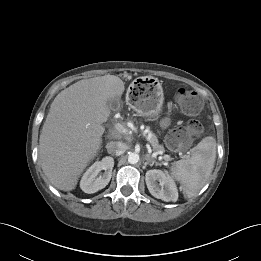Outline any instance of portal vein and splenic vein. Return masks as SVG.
I'll use <instances>...</instances> for the list:
<instances>
[{"mask_svg": "<svg viewBox=\"0 0 261 261\" xmlns=\"http://www.w3.org/2000/svg\"><path fill=\"white\" fill-rule=\"evenodd\" d=\"M114 128L119 132V133H121V134H128V129L126 128V127H124L122 124H120V123H116L115 125H114ZM148 139V138H147ZM149 140V139H148ZM148 151H149V153H151V148L149 147L148 148ZM161 152H154V153H152V156L153 157H156L157 156V154H160ZM167 158H169V155H165Z\"/></svg>", "mask_w": 261, "mask_h": 261, "instance_id": "18ae733b", "label": "portal vein and splenic vein"}]
</instances>
